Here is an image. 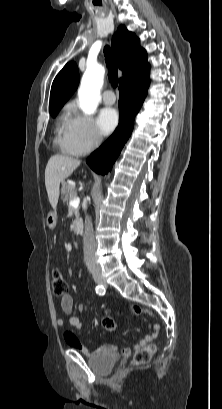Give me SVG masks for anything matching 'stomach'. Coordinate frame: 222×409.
<instances>
[{
    "mask_svg": "<svg viewBox=\"0 0 222 409\" xmlns=\"http://www.w3.org/2000/svg\"><path fill=\"white\" fill-rule=\"evenodd\" d=\"M56 222H57V216L56 214H50L47 217V224L50 228H54L56 226Z\"/></svg>",
    "mask_w": 222,
    "mask_h": 409,
    "instance_id": "0dacf381",
    "label": "stomach"
}]
</instances>
